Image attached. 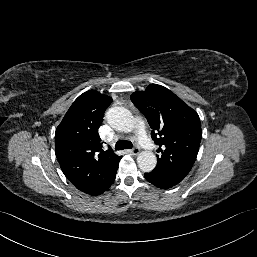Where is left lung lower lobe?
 <instances>
[{
    "mask_svg": "<svg viewBox=\"0 0 257 257\" xmlns=\"http://www.w3.org/2000/svg\"><path fill=\"white\" fill-rule=\"evenodd\" d=\"M144 176L150 183L163 189L171 188L183 180V178L160 168H155L152 172L145 173Z\"/></svg>",
    "mask_w": 257,
    "mask_h": 257,
    "instance_id": "left-lung-lower-lobe-1",
    "label": "left lung lower lobe"
}]
</instances>
